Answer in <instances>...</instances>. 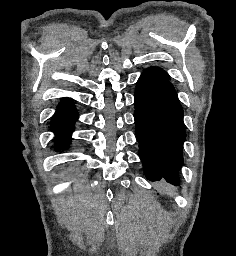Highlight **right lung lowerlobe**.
Wrapping results in <instances>:
<instances>
[{"label":"right lung lower lobe","mask_w":236,"mask_h":256,"mask_svg":"<svg viewBox=\"0 0 236 256\" xmlns=\"http://www.w3.org/2000/svg\"><path fill=\"white\" fill-rule=\"evenodd\" d=\"M78 119V113L73 100L63 98L57 107L51 121V130L55 132V147L58 150H64L70 143V136L74 130V124Z\"/></svg>","instance_id":"98d812e1"}]
</instances>
